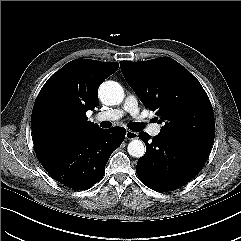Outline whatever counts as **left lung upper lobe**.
Returning <instances> with one entry per match:
<instances>
[{
  "mask_svg": "<svg viewBox=\"0 0 241 241\" xmlns=\"http://www.w3.org/2000/svg\"><path fill=\"white\" fill-rule=\"evenodd\" d=\"M120 67L141 102L165 122L160 133L213 144L215 123L210 100L199 81L181 64L161 57L144 62L120 61Z\"/></svg>",
  "mask_w": 241,
  "mask_h": 241,
  "instance_id": "left-lung-upper-lobe-1",
  "label": "left lung upper lobe"
}]
</instances>
